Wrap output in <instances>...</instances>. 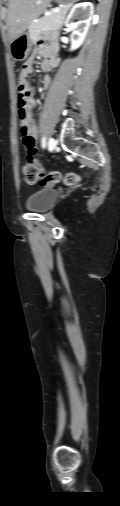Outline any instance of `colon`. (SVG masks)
Returning a JSON list of instances; mask_svg holds the SVG:
<instances>
[{
	"instance_id": "colon-1",
	"label": "colon",
	"mask_w": 120,
	"mask_h": 506,
	"mask_svg": "<svg viewBox=\"0 0 120 506\" xmlns=\"http://www.w3.org/2000/svg\"><path fill=\"white\" fill-rule=\"evenodd\" d=\"M30 91L23 87L18 86V113L19 118L26 106L27 98ZM23 135V134H22ZM23 144L27 151L31 154L29 161L23 166L22 172L24 179L29 184L40 182L43 185H53L63 182L67 186H75L82 181V176L79 173L69 172L62 175L58 171L46 172L33 157L36 153V141L33 137L23 135Z\"/></svg>"
}]
</instances>
